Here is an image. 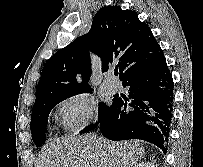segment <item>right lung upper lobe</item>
Segmentation results:
<instances>
[{"label": "right lung upper lobe", "instance_id": "obj_1", "mask_svg": "<svg viewBox=\"0 0 203 167\" xmlns=\"http://www.w3.org/2000/svg\"><path fill=\"white\" fill-rule=\"evenodd\" d=\"M89 50L102 60V72L119 68V79L152 69L165 60L150 28L135 11L119 6L100 9L88 34L56 52L44 65L34 107L46 100L91 92ZM82 74L78 84L75 75Z\"/></svg>", "mask_w": 203, "mask_h": 167}]
</instances>
